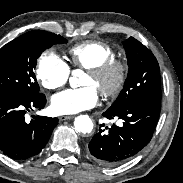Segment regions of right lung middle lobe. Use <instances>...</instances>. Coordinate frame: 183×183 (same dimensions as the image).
Masks as SVG:
<instances>
[{
	"label": "right lung middle lobe",
	"mask_w": 183,
	"mask_h": 183,
	"mask_svg": "<svg viewBox=\"0 0 183 183\" xmlns=\"http://www.w3.org/2000/svg\"><path fill=\"white\" fill-rule=\"evenodd\" d=\"M67 40L60 35L35 30L7 43L0 50V94L37 93L34 69L41 53Z\"/></svg>",
	"instance_id": "right-lung-middle-lobe-1"
}]
</instances>
